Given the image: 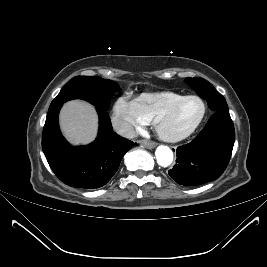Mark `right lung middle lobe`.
<instances>
[{"instance_id": "right-lung-middle-lobe-1", "label": "right lung middle lobe", "mask_w": 267, "mask_h": 267, "mask_svg": "<svg viewBox=\"0 0 267 267\" xmlns=\"http://www.w3.org/2000/svg\"><path fill=\"white\" fill-rule=\"evenodd\" d=\"M120 89L114 81L100 77L77 76L67 82L50 108L72 99H84L104 110H108L112 96Z\"/></svg>"}]
</instances>
